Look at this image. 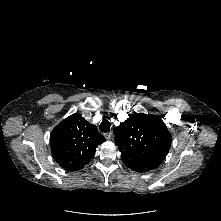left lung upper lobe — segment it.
<instances>
[{"label":"left lung upper lobe","mask_w":221,"mask_h":221,"mask_svg":"<svg viewBox=\"0 0 221 221\" xmlns=\"http://www.w3.org/2000/svg\"><path fill=\"white\" fill-rule=\"evenodd\" d=\"M171 141L161 116L131 114L115 130V144L123 162L137 172L155 169L168 153Z\"/></svg>","instance_id":"left-lung-upper-lobe-1"}]
</instances>
